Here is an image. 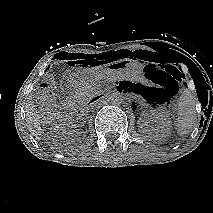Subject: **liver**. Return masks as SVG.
<instances>
[{
    "mask_svg": "<svg viewBox=\"0 0 213 213\" xmlns=\"http://www.w3.org/2000/svg\"><path fill=\"white\" fill-rule=\"evenodd\" d=\"M25 111H26V121L30 133L37 140H40L39 136L42 134L40 115L38 114L37 110L31 103V101L27 103Z\"/></svg>",
    "mask_w": 213,
    "mask_h": 213,
    "instance_id": "liver-1",
    "label": "liver"
}]
</instances>
